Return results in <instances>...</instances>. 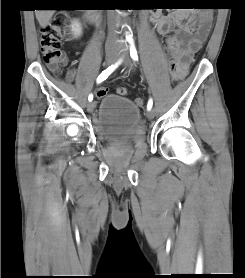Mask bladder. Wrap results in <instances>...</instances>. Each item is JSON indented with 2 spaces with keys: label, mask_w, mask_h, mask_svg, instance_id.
I'll list each match as a JSON object with an SVG mask.
<instances>
[{
  "label": "bladder",
  "mask_w": 245,
  "mask_h": 278,
  "mask_svg": "<svg viewBox=\"0 0 245 278\" xmlns=\"http://www.w3.org/2000/svg\"><path fill=\"white\" fill-rule=\"evenodd\" d=\"M94 128L99 141L107 144H137L145 138L140 109L131 100L113 93L100 102Z\"/></svg>",
  "instance_id": "bladder-1"
}]
</instances>
